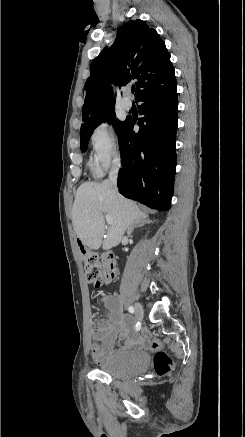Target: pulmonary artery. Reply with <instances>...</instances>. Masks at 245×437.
<instances>
[{
    "label": "pulmonary artery",
    "instance_id": "pulmonary-artery-1",
    "mask_svg": "<svg viewBox=\"0 0 245 437\" xmlns=\"http://www.w3.org/2000/svg\"><path fill=\"white\" fill-rule=\"evenodd\" d=\"M128 90H126V93ZM121 107L125 110H130L132 107V102L128 97H123L120 101Z\"/></svg>",
    "mask_w": 245,
    "mask_h": 437
}]
</instances>
